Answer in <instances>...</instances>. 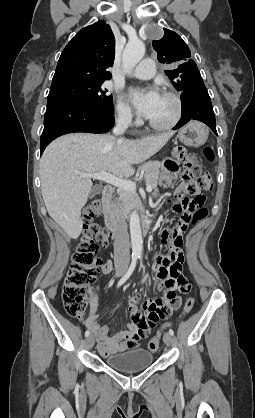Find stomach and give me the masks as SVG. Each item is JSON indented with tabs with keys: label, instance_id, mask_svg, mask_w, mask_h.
<instances>
[{
	"label": "stomach",
	"instance_id": "1",
	"mask_svg": "<svg viewBox=\"0 0 255 418\" xmlns=\"http://www.w3.org/2000/svg\"><path fill=\"white\" fill-rule=\"evenodd\" d=\"M177 137L188 146L198 147L207 140L208 130L203 124L192 121L179 130Z\"/></svg>",
	"mask_w": 255,
	"mask_h": 418
}]
</instances>
